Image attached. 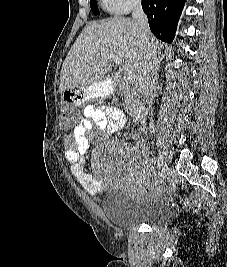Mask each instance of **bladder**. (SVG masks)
<instances>
[{"mask_svg":"<svg viewBox=\"0 0 227 267\" xmlns=\"http://www.w3.org/2000/svg\"><path fill=\"white\" fill-rule=\"evenodd\" d=\"M102 208L106 218L124 229L140 224H165L174 217L172 208L158 200H139L118 188L105 192Z\"/></svg>","mask_w":227,"mask_h":267,"instance_id":"31cf9c89","label":"bladder"}]
</instances>
